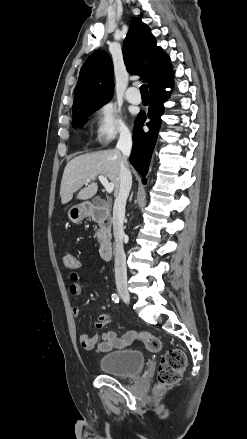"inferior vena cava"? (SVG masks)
Returning a JSON list of instances; mask_svg holds the SVG:
<instances>
[{"instance_id": "1", "label": "inferior vena cava", "mask_w": 247, "mask_h": 439, "mask_svg": "<svg viewBox=\"0 0 247 439\" xmlns=\"http://www.w3.org/2000/svg\"><path fill=\"white\" fill-rule=\"evenodd\" d=\"M116 148L122 152L120 164V188L113 207V234L115 239V282L117 289L127 288L126 256L123 247L125 237L123 222L126 201L131 190L132 176L127 158L132 149V137L129 131H122Z\"/></svg>"}]
</instances>
